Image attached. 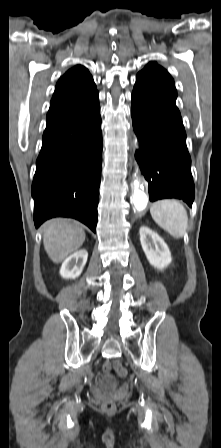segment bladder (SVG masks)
Returning a JSON list of instances; mask_svg holds the SVG:
<instances>
[{"label":"bladder","instance_id":"obj_1","mask_svg":"<svg viewBox=\"0 0 221 448\" xmlns=\"http://www.w3.org/2000/svg\"><path fill=\"white\" fill-rule=\"evenodd\" d=\"M111 383H112V380L110 378H107V379L104 380V382H103V384L101 386L102 390L104 392H106V393H109V395L112 394V392H111V390H112Z\"/></svg>","mask_w":221,"mask_h":448}]
</instances>
